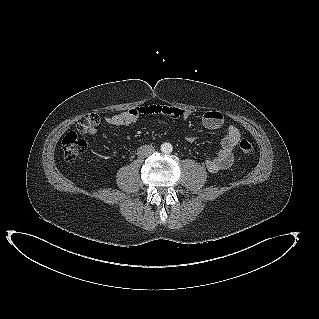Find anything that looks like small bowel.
Listing matches in <instances>:
<instances>
[{"label":"small bowel","mask_w":319,"mask_h":319,"mask_svg":"<svg viewBox=\"0 0 319 319\" xmlns=\"http://www.w3.org/2000/svg\"><path fill=\"white\" fill-rule=\"evenodd\" d=\"M155 114L179 118L185 123H188L191 117V112L188 109L169 105L148 104L105 117L92 114L93 120L85 124H78L77 129L82 134L94 136L98 133V126L102 122L112 126H133L140 116ZM202 124L206 129L218 130L224 125V117L218 111H207L202 117ZM240 138L241 133L239 129L233 125L228 126L221 140L220 149L213 157L205 161L206 168L212 173L229 168L234 161L235 150ZM186 139L189 142H193L196 137L192 133H187Z\"/></svg>","instance_id":"small-bowel-1"}]
</instances>
